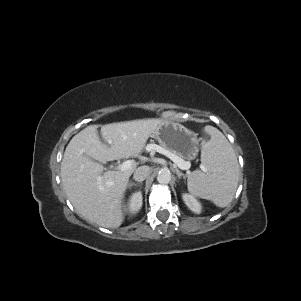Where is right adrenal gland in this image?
I'll use <instances>...</instances> for the list:
<instances>
[{
    "label": "right adrenal gland",
    "mask_w": 301,
    "mask_h": 301,
    "mask_svg": "<svg viewBox=\"0 0 301 301\" xmlns=\"http://www.w3.org/2000/svg\"><path fill=\"white\" fill-rule=\"evenodd\" d=\"M137 185H141V183H139V184H137V183H129V185H128V187L130 188V187H132V186H137Z\"/></svg>",
    "instance_id": "2a0ac1e0"
}]
</instances>
